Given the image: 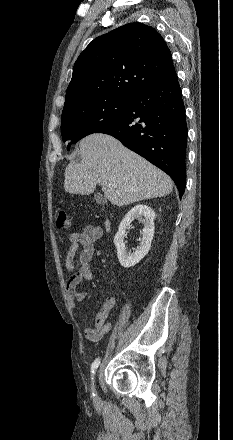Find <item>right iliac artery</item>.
<instances>
[{
	"mask_svg": "<svg viewBox=\"0 0 233 440\" xmlns=\"http://www.w3.org/2000/svg\"><path fill=\"white\" fill-rule=\"evenodd\" d=\"M99 364H100V359L99 358L95 359V361L92 363V365H91V373H92V375L95 374V371L98 368Z\"/></svg>",
	"mask_w": 233,
	"mask_h": 440,
	"instance_id": "1",
	"label": "right iliac artery"
}]
</instances>
